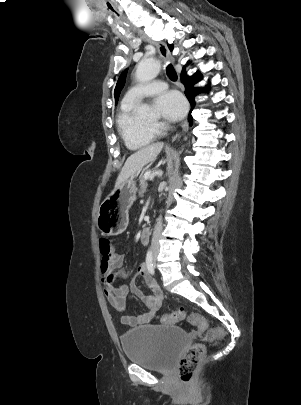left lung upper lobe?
<instances>
[{
  "label": "left lung upper lobe",
  "mask_w": 301,
  "mask_h": 405,
  "mask_svg": "<svg viewBox=\"0 0 301 405\" xmlns=\"http://www.w3.org/2000/svg\"><path fill=\"white\" fill-rule=\"evenodd\" d=\"M126 73H127V70H125V71L121 74V76L119 77V80H118V82H117V84H116V87H115V90H114L115 104L118 102V98H119L120 92H121V90H122V88H123V86H124L125 78H126Z\"/></svg>",
  "instance_id": "obj_1"
}]
</instances>
